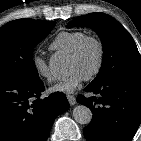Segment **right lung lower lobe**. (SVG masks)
I'll return each mask as SVG.
<instances>
[{
  "label": "right lung lower lobe",
  "instance_id": "1",
  "mask_svg": "<svg viewBox=\"0 0 141 141\" xmlns=\"http://www.w3.org/2000/svg\"><path fill=\"white\" fill-rule=\"evenodd\" d=\"M42 91L40 78L0 80V141H46L69 103L62 92L42 99Z\"/></svg>",
  "mask_w": 141,
  "mask_h": 141
}]
</instances>
